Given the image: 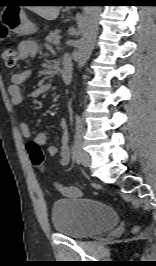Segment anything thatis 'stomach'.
Instances as JSON below:
<instances>
[{"label":"stomach","instance_id":"1","mask_svg":"<svg viewBox=\"0 0 156 266\" xmlns=\"http://www.w3.org/2000/svg\"><path fill=\"white\" fill-rule=\"evenodd\" d=\"M7 26L11 31L20 35H27L35 31L34 25L27 20L22 10H17L9 16Z\"/></svg>","mask_w":156,"mask_h":266}]
</instances>
